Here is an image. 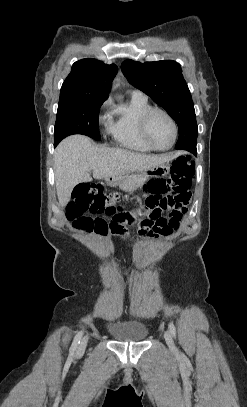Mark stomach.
I'll return each instance as SVG.
<instances>
[{
	"label": "stomach",
	"instance_id": "stomach-1",
	"mask_svg": "<svg viewBox=\"0 0 247 407\" xmlns=\"http://www.w3.org/2000/svg\"><path fill=\"white\" fill-rule=\"evenodd\" d=\"M170 169L171 164L169 162L158 166H140L139 169H131L130 175L131 178H152V176L164 177L169 174ZM130 175L111 176L107 177L105 181L109 186H117L123 183L128 177H130Z\"/></svg>",
	"mask_w": 247,
	"mask_h": 407
}]
</instances>
